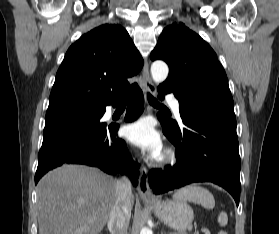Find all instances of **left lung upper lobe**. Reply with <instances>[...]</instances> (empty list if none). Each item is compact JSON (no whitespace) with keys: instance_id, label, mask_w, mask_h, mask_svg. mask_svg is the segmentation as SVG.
<instances>
[{"instance_id":"obj_1","label":"left lung upper lobe","mask_w":279,"mask_h":234,"mask_svg":"<svg viewBox=\"0 0 279 234\" xmlns=\"http://www.w3.org/2000/svg\"><path fill=\"white\" fill-rule=\"evenodd\" d=\"M150 58L168 64L169 76L160 86H172L182 101L234 110L228 79L216 53L183 23H173L163 30ZM162 117L165 122L177 125L176 121Z\"/></svg>"}]
</instances>
